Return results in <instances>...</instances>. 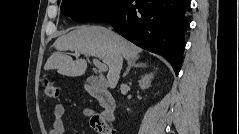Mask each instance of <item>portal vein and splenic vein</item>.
Wrapping results in <instances>:
<instances>
[{
  "instance_id": "1",
  "label": "portal vein and splenic vein",
  "mask_w": 239,
  "mask_h": 134,
  "mask_svg": "<svg viewBox=\"0 0 239 134\" xmlns=\"http://www.w3.org/2000/svg\"><path fill=\"white\" fill-rule=\"evenodd\" d=\"M79 55V53H77ZM94 65L99 69V71H107L108 67L106 64L100 62L98 59H93Z\"/></svg>"
}]
</instances>
